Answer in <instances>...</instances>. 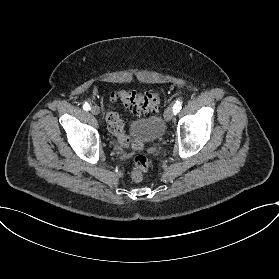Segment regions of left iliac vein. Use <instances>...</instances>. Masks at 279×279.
I'll list each match as a JSON object with an SVG mask.
<instances>
[{"label": "left iliac vein", "mask_w": 279, "mask_h": 279, "mask_svg": "<svg viewBox=\"0 0 279 279\" xmlns=\"http://www.w3.org/2000/svg\"><path fill=\"white\" fill-rule=\"evenodd\" d=\"M165 118L167 121L173 120V109L171 106L167 107L165 110Z\"/></svg>", "instance_id": "4c4485c4"}]
</instances>
